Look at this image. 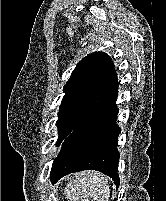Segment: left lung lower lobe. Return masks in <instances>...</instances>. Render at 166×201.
<instances>
[{
    "instance_id": "1",
    "label": "left lung lower lobe",
    "mask_w": 166,
    "mask_h": 201,
    "mask_svg": "<svg viewBox=\"0 0 166 201\" xmlns=\"http://www.w3.org/2000/svg\"><path fill=\"white\" fill-rule=\"evenodd\" d=\"M117 90L64 140L51 168L50 180L53 184L67 174L92 169L108 175L116 187L119 186L117 138L121 129L115 125Z\"/></svg>"
}]
</instances>
